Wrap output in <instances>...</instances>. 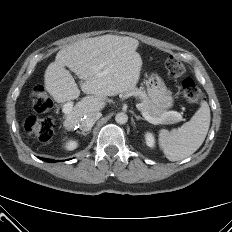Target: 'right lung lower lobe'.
<instances>
[{
	"label": "right lung lower lobe",
	"instance_id": "98d812e1",
	"mask_svg": "<svg viewBox=\"0 0 232 232\" xmlns=\"http://www.w3.org/2000/svg\"><path fill=\"white\" fill-rule=\"evenodd\" d=\"M41 159L46 161V162H56L55 160H52V159H46V158H41Z\"/></svg>",
	"mask_w": 232,
	"mask_h": 232
}]
</instances>
